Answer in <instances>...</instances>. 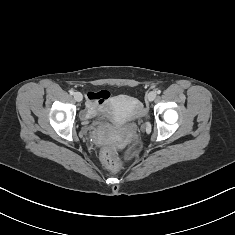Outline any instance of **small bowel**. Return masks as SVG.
Listing matches in <instances>:
<instances>
[{
	"label": "small bowel",
	"mask_w": 235,
	"mask_h": 235,
	"mask_svg": "<svg viewBox=\"0 0 235 235\" xmlns=\"http://www.w3.org/2000/svg\"><path fill=\"white\" fill-rule=\"evenodd\" d=\"M87 98V107L84 112L85 116L94 115L97 112L98 107L101 102H110L111 99L107 92H88L86 95Z\"/></svg>",
	"instance_id": "c3829d8e"
}]
</instances>
